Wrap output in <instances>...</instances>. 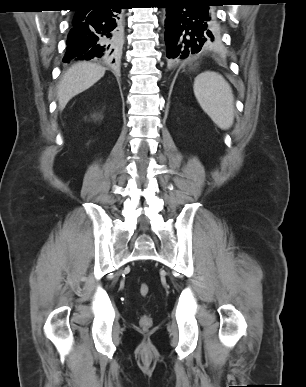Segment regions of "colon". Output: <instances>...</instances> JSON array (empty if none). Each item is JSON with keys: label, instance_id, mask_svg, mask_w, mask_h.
Masks as SVG:
<instances>
[{"label": "colon", "instance_id": "colon-1", "mask_svg": "<svg viewBox=\"0 0 306 387\" xmlns=\"http://www.w3.org/2000/svg\"><path fill=\"white\" fill-rule=\"evenodd\" d=\"M149 292L150 287L147 283L143 282L139 285V293L141 296L146 297ZM139 324L143 329H149L153 324V320L149 315H143L139 320Z\"/></svg>", "mask_w": 306, "mask_h": 387}]
</instances>
